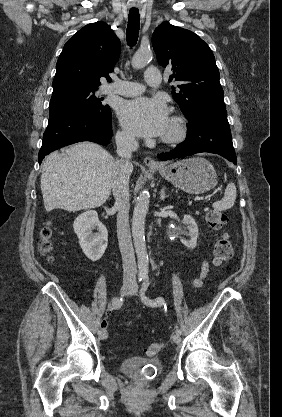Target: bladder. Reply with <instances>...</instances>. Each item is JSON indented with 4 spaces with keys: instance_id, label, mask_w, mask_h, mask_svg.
<instances>
[{
    "instance_id": "bladder-1",
    "label": "bladder",
    "mask_w": 282,
    "mask_h": 417,
    "mask_svg": "<svg viewBox=\"0 0 282 417\" xmlns=\"http://www.w3.org/2000/svg\"><path fill=\"white\" fill-rule=\"evenodd\" d=\"M120 370L135 382L146 384L160 374L161 365L155 359L131 356L121 361Z\"/></svg>"
}]
</instances>
